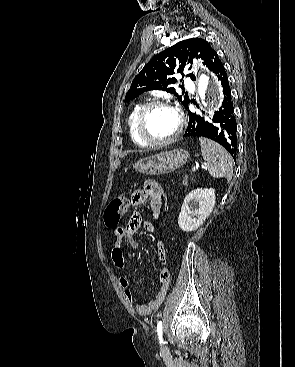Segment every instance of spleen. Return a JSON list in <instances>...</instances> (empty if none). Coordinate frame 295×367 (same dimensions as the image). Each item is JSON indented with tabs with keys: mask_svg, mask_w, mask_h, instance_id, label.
<instances>
[{
	"mask_svg": "<svg viewBox=\"0 0 295 367\" xmlns=\"http://www.w3.org/2000/svg\"><path fill=\"white\" fill-rule=\"evenodd\" d=\"M201 153L205 166L214 178H226L229 182L233 175V161L229 153L218 143L200 138Z\"/></svg>",
	"mask_w": 295,
	"mask_h": 367,
	"instance_id": "obj_1",
	"label": "spleen"
}]
</instances>
